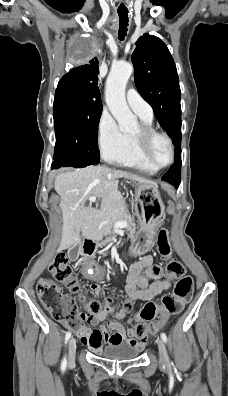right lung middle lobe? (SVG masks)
Instances as JSON below:
<instances>
[{"label": "right lung middle lobe", "instance_id": "obj_1", "mask_svg": "<svg viewBox=\"0 0 228 396\" xmlns=\"http://www.w3.org/2000/svg\"><path fill=\"white\" fill-rule=\"evenodd\" d=\"M91 51L83 44L81 58ZM102 103H90L74 93L56 90L53 115L56 133L54 163L61 167H86L100 161L97 142Z\"/></svg>", "mask_w": 228, "mask_h": 396}]
</instances>
